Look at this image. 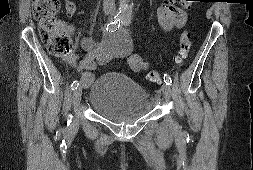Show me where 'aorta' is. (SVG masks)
I'll list each match as a JSON object with an SVG mask.
<instances>
[{
    "mask_svg": "<svg viewBox=\"0 0 253 170\" xmlns=\"http://www.w3.org/2000/svg\"><path fill=\"white\" fill-rule=\"evenodd\" d=\"M132 6L133 5L131 4V5L125 6L122 9H120L119 17L124 18V17L128 16L132 11Z\"/></svg>",
    "mask_w": 253,
    "mask_h": 170,
    "instance_id": "1",
    "label": "aorta"
}]
</instances>
